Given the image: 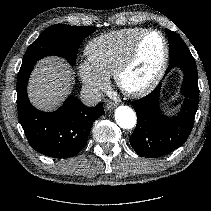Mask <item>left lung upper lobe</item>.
<instances>
[{"instance_id":"5c2ea615","label":"left lung upper lobe","mask_w":211,"mask_h":211,"mask_svg":"<svg viewBox=\"0 0 211 211\" xmlns=\"http://www.w3.org/2000/svg\"><path fill=\"white\" fill-rule=\"evenodd\" d=\"M170 32H173V31L166 30V33L167 34H169ZM180 51H189L187 45L184 43L183 40H182L181 45H180L179 48H177V49H170L169 55L172 56V55H174V54H176L177 52H180Z\"/></svg>"}]
</instances>
